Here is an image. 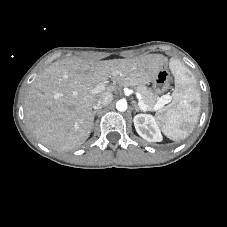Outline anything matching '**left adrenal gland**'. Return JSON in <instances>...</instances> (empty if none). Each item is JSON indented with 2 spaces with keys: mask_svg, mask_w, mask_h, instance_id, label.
I'll use <instances>...</instances> for the list:
<instances>
[{
  "mask_svg": "<svg viewBox=\"0 0 227 227\" xmlns=\"http://www.w3.org/2000/svg\"><path fill=\"white\" fill-rule=\"evenodd\" d=\"M134 103V110L135 111H143L142 109H140L139 107H138V105L136 104V102H133Z\"/></svg>",
  "mask_w": 227,
  "mask_h": 227,
  "instance_id": "left-adrenal-gland-1",
  "label": "left adrenal gland"
}]
</instances>
